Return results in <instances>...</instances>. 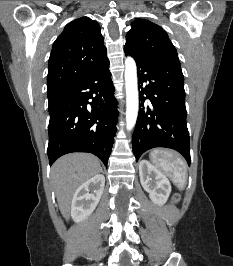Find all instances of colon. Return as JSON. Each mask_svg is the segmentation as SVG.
<instances>
[{"instance_id":"1","label":"colon","mask_w":233,"mask_h":266,"mask_svg":"<svg viewBox=\"0 0 233 266\" xmlns=\"http://www.w3.org/2000/svg\"><path fill=\"white\" fill-rule=\"evenodd\" d=\"M179 200V197L177 196V195H174V197H173V201L174 202H177Z\"/></svg>"}]
</instances>
